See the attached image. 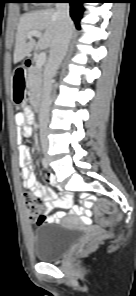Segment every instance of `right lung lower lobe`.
Instances as JSON below:
<instances>
[{"instance_id":"1","label":"right lung lower lobe","mask_w":136,"mask_h":296,"mask_svg":"<svg viewBox=\"0 0 136 296\" xmlns=\"http://www.w3.org/2000/svg\"><path fill=\"white\" fill-rule=\"evenodd\" d=\"M70 3V16L72 17L75 25L78 29H80V19L82 18V13L84 8L82 6L83 3L88 2V0H64Z\"/></svg>"}]
</instances>
